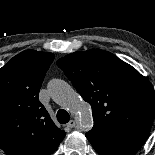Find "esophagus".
Segmentation results:
<instances>
[{
  "label": "esophagus",
  "instance_id": "1",
  "mask_svg": "<svg viewBox=\"0 0 155 155\" xmlns=\"http://www.w3.org/2000/svg\"><path fill=\"white\" fill-rule=\"evenodd\" d=\"M76 125H77V121L76 120H70L67 123V127H69V128H74Z\"/></svg>",
  "mask_w": 155,
  "mask_h": 155
}]
</instances>
